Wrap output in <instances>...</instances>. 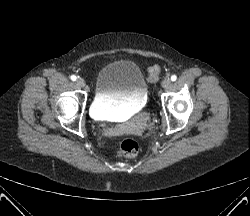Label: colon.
Segmentation results:
<instances>
[{
    "label": "colon",
    "mask_w": 250,
    "mask_h": 216,
    "mask_svg": "<svg viewBox=\"0 0 250 216\" xmlns=\"http://www.w3.org/2000/svg\"><path fill=\"white\" fill-rule=\"evenodd\" d=\"M160 66L155 64L148 69L147 80L153 83L158 80L160 74ZM139 145L136 141L132 139L124 140L118 150V155L123 157H135L138 154Z\"/></svg>",
    "instance_id": "obj_1"
}]
</instances>
